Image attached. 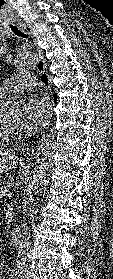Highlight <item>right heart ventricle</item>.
Masks as SVG:
<instances>
[{
	"label": "right heart ventricle",
	"mask_w": 113,
	"mask_h": 279,
	"mask_svg": "<svg viewBox=\"0 0 113 279\" xmlns=\"http://www.w3.org/2000/svg\"><path fill=\"white\" fill-rule=\"evenodd\" d=\"M9 98L4 94L0 93V110L8 104ZM8 142V139L2 137L0 133V147L5 145Z\"/></svg>",
	"instance_id": "1"
}]
</instances>
